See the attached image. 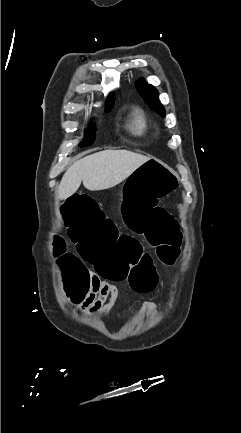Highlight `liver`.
<instances>
[{
	"instance_id": "liver-1",
	"label": "liver",
	"mask_w": 241,
	"mask_h": 433,
	"mask_svg": "<svg viewBox=\"0 0 241 433\" xmlns=\"http://www.w3.org/2000/svg\"><path fill=\"white\" fill-rule=\"evenodd\" d=\"M150 157L127 150H105L76 161L62 177L57 197L65 200L80 187L81 182L90 191L116 186Z\"/></svg>"
}]
</instances>
